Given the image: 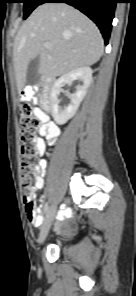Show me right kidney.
Listing matches in <instances>:
<instances>
[{"label":"right kidney","instance_id":"obj_1","mask_svg":"<svg viewBox=\"0 0 136 296\" xmlns=\"http://www.w3.org/2000/svg\"><path fill=\"white\" fill-rule=\"evenodd\" d=\"M75 80L82 82V84L77 85L75 93L69 94L70 103L65 107H60L58 96L62 91V87L65 84L71 85ZM91 81L92 69L88 66H84L62 75L54 82L51 88V108L52 116L56 123L64 124L75 115L80 103L87 93Z\"/></svg>","mask_w":136,"mask_h":296}]
</instances>
